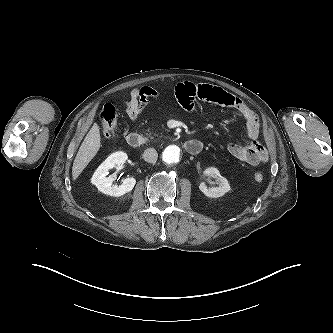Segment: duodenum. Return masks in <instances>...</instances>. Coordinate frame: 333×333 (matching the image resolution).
I'll return each mask as SVG.
<instances>
[{"label":"duodenum","instance_id":"obj_1","mask_svg":"<svg viewBox=\"0 0 333 333\" xmlns=\"http://www.w3.org/2000/svg\"><path fill=\"white\" fill-rule=\"evenodd\" d=\"M126 141L130 147L138 148L142 145L143 138L140 134L131 132L127 135ZM184 148L189 154L196 155L201 152L203 144L198 140H188L184 143Z\"/></svg>","mask_w":333,"mask_h":333}]
</instances>
